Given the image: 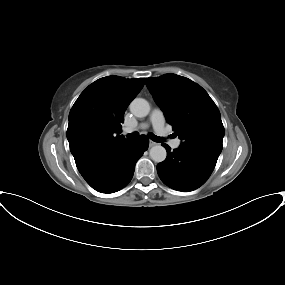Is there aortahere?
<instances>
[{
  "mask_svg": "<svg viewBox=\"0 0 285 285\" xmlns=\"http://www.w3.org/2000/svg\"><path fill=\"white\" fill-rule=\"evenodd\" d=\"M130 111L136 117H146L150 112V105L143 98H135L130 103ZM149 155L154 162L160 163L166 159L167 152L163 146L155 145L150 149Z\"/></svg>",
  "mask_w": 285,
  "mask_h": 285,
  "instance_id": "obj_1",
  "label": "aorta"
}]
</instances>
